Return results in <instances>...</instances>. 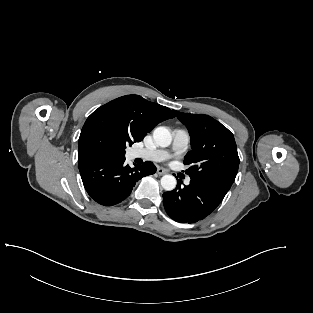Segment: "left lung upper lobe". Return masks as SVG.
<instances>
[{
	"label": "left lung upper lobe",
	"mask_w": 313,
	"mask_h": 313,
	"mask_svg": "<svg viewBox=\"0 0 313 313\" xmlns=\"http://www.w3.org/2000/svg\"><path fill=\"white\" fill-rule=\"evenodd\" d=\"M186 125L192 150L184 158L191 179L210 181L230 189L238 172L239 157L233 134L208 115L175 111Z\"/></svg>",
	"instance_id": "1"
}]
</instances>
